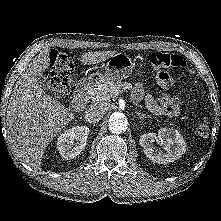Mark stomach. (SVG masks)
Here are the masks:
<instances>
[{
  "label": "stomach",
  "mask_w": 221,
  "mask_h": 221,
  "mask_svg": "<svg viewBox=\"0 0 221 221\" xmlns=\"http://www.w3.org/2000/svg\"><path fill=\"white\" fill-rule=\"evenodd\" d=\"M133 67L134 63L128 55L117 53L107 61L104 74L96 73L89 77V79L102 83L105 80L121 81L131 75Z\"/></svg>",
  "instance_id": "obj_1"
}]
</instances>
